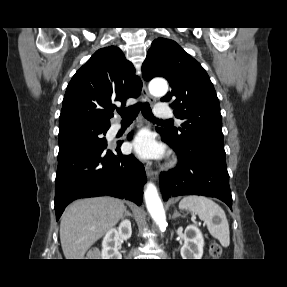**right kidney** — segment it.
<instances>
[{
    "mask_svg": "<svg viewBox=\"0 0 287 287\" xmlns=\"http://www.w3.org/2000/svg\"><path fill=\"white\" fill-rule=\"evenodd\" d=\"M132 228L129 220H123L119 227L110 229L103 238L102 242V259H122L118 250L119 237L128 239L131 237Z\"/></svg>",
    "mask_w": 287,
    "mask_h": 287,
    "instance_id": "1",
    "label": "right kidney"
}]
</instances>
